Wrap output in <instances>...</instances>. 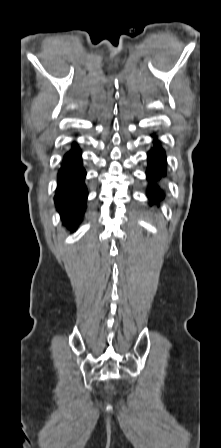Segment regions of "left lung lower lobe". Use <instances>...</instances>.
Wrapping results in <instances>:
<instances>
[{"instance_id": "0a47b994", "label": "left lung lower lobe", "mask_w": 221, "mask_h": 448, "mask_svg": "<svg viewBox=\"0 0 221 448\" xmlns=\"http://www.w3.org/2000/svg\"><path fill=\"white\" fill-rule=\"evenodd\" d=\"M156 143H158L156 141ZM166 157L162 148L155 147L148 153L147 179L151 186L148 190V197L151 203H159L164 198L162 191L155 185V181L159 180L166 172Z\"/></svg>"}]
</instances>
